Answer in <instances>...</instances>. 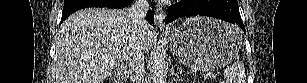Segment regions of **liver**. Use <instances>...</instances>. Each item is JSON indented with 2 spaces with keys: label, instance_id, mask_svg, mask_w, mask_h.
<instances>
[{
  "label": "liver",
  "instance_id": "liver-1",
  "mask_svg": "<svg viewBox=\"0 0 307 83\" xmlns=\"http://www.w3.org/2000/svg\"><path fill=\"white\" fill-rule=\"evenodd\" d=\"M128 9L85 8L61 25L53 70L55 83H104L127 60L130 38ZM154 30L147 23L142 37L148 52Z\"/></svg>",
  "mask_w": 307,
  "mask_h": 83
}]
</instances>
